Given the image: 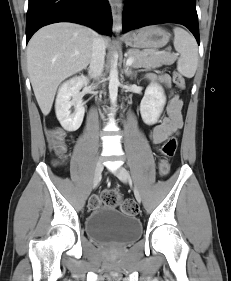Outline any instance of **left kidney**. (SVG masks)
<instances>
[{"label": "left kidney", "mask_w": 231, "mask_h": 281, "mask_svg": "<svg viewBox=\"0 0 231 281\" xmlns=\"http://www.w3.org/2000/svg\"><path fill=\"white\" fill-rule=\"evenodd\" d=\"M165 95L161 86L151 84L145 90L144 97L140 103V113L145 124H155L165 105Z\"/></svg>", "instance_id": "obj_1"}]
</instances>
